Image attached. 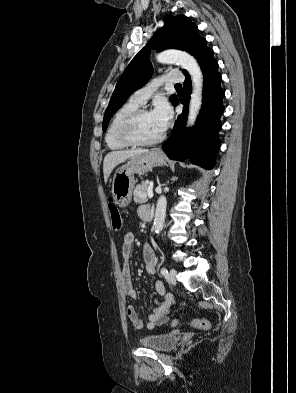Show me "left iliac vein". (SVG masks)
Here are the masks:
<instances>
[{"mask_svg": "<svg viewBox=\"0 0 296 393\" xmlns=\"http://www.w3.org/2000/svg\"><path fill=\"white\" fill-rule=\"evenodd\" d=\"M176 274H177V271L175 269L170 270L168 279L171 284L176 283Z\"/></svg>", "mask_w": 296, "mask_h": 393, "instance_id": "4c4485c4", "label": "left iliac vein"}]
</instances>
